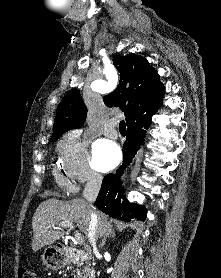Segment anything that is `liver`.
<instances>
[{"label":"liver","mask_w":221,"mask_h":278,"mask_svg":"<svg viewBox=\"0 0 221 278\" xmlns=\"http://www.w3.org/2000/svg\"><path fill=\"white\" fill-rule=\"evenodd\" d=\"M92 211L96 213L98 220L96 238L103 237L112 230V225L104 213L93 208L87 201L83 199L62 201L51 198L42 202L32 219L33 251H38L63 237L65 232L59 227V224L64 221L77 223L79 230L90 241L88 226Z\"/></svg>","instance_id":"1"}]
</instances>
